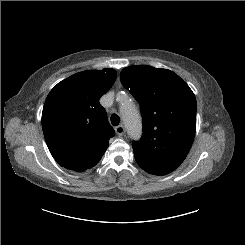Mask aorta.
<instances>
[{
    "label": "aorta",
    "instance_id": "1",
    "mask_svg": "<svg viewBox=\"0 0 245 245\" xmlns=\"http://www.w3.org/2000/svg\"><path fill=\"white\" fill-rule=\"evenodd\" d=\"M121 115L128 135L134 139L139 138L142 131V124L135 106L132 103L122 104Z\"/></svg>",
    "mask_w": 245,
    "mask_h": 245
}]
</instances>
